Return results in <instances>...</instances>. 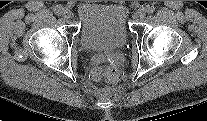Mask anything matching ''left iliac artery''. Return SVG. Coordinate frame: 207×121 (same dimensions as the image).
Listing matches in <instances>:
<instances>
[{"instance_id": "obj_1", "label": "left iliac artery", "mask_w": 207, "mask_h": 121, "mask_svg": "<svg viewBox=\"0 0 207 121\" xmlns=\"http://www.w3.org/2000/svg\"><path fill=\"white\" fill-rule=\"evenodd\" d=\"M146 11H147V13H150V14L153 13L155 11L154 5H148L146 7Z\"/></svg>"}]
</instances>
